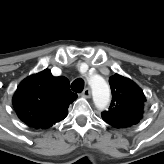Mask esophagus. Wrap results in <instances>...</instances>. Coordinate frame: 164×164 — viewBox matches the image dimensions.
<instances>
[{"instance_id": "1", "label": "esophagus", "mask_w": 164, "mask_h": 164, "mask_svg": "<svg viewBox=\"0 0 164 164\" xmlns=\"http://www.w3.org/2000/svg\"><path fill=\"white\" fill-rule=\"evenodd\" d=\"M82 96L85 98H90L91 97V90L90 88H85L82 92Z\"/></svg>"}]
</instances>
